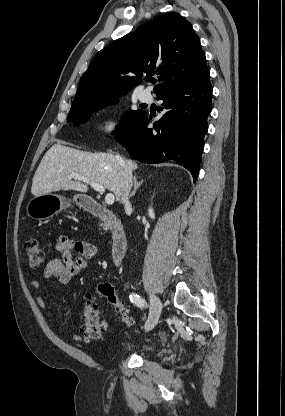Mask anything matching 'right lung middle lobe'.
Listing matches in <instances>:
<instances>
[{"instance_id":"obj_1","label":"right lung middle lobe","mask_w":285,"mask_h":416,"mask_svg":"<svg viewBox=\"0 0 285 416\" xmlns=\"http://www.w3.org/2000/svg\"><path fill=\"white\" fill-rule=\"evenodd\" d=\"M110 104V100H102L98 102H94L86 107L71 110L68 114L67 120L71 121L74 125H79L81 123H85L89 118L92 112H95L107 105ZM145 115L144 110H128V112L123 117V128L120 131H124V129L128 128L139 119H141ZM119 132V131H118Z\"/></svg>"}]
</instances>
